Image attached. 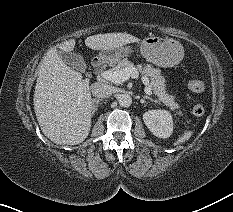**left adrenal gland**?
Masks as SVG:
<instances>
[{
    "instance_id": "a2214340",
    "label": "left adrenal gland",
    "mask_w": 233,
    "mask_h": 212,
    "mask_svg": "<svg viewBox=\"0 0 233 212\" xmlns=\"http://www.w3.org/2000/svg\"><path fill=\"white\" fill-rule=\"evenodd\" d=\"M143 99H148V100H150V101H152V102L158 103L157 100H154L152 97H149V96H147V95H144V96H143Z\"/></svg>"
}]
</instances>
